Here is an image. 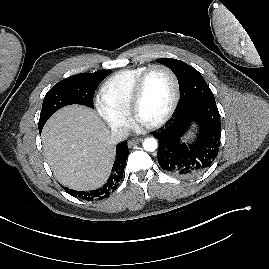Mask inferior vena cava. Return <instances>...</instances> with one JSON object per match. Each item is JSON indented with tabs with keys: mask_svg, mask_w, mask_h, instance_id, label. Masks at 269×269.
I'll use <instances>...</instances> for the list:
<instances>
[{
	"mask_svg": "<svg viewBox=\"0 0 269 269\" xmlns=\"http://www.w3.org/2000/svg\"><path fill=\"white\" fill-rule=\"evenodd\" d=\"M129 136V130L127 128H116L111 132L110 136V142L112 144L119 143L121 141H124Z\"/></svg>",
	"mask_w": 269,
	"mask_h": 269,
	"instance_id": "obj_1",
	"label": "inferior vena cava"
}]
</instances>
